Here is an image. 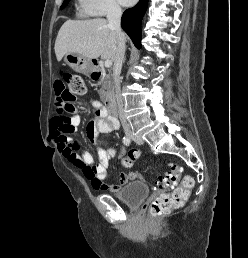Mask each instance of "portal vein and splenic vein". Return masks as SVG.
<instances>
[{
	"mask_svg": "<svg viewBox=\"0 0 248 258\" xmlns=\"http://www.w3.org/2000/svg\"><path fill=\"white\" fill-rule=\"evenodd\" d=\"M104 65H105L106 68H109V67L112 66V61L109 60V59H106Z\"/></svg>",
	"mask_w": 248,
	"mask_h": 258,
	"instance_id": "portal-vein-and-splenic-vein-1",
	"label": "portal vein and splenic vein"
}]
</instances>
